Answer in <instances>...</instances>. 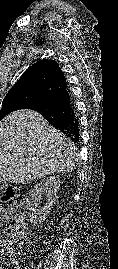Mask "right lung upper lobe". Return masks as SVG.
<instances>
[{"mask_svg": "<svg viewBox=\"0 0 118 269\" xmlns=\"http://www.w3.org/2000/svg\"><path fill=\"white\" fill-rule=\"evenodd\" d=\"M66 87L68 84L59 64L55 60L43 59L30 66L7 95H24L26 108Z\"/></svg>", "mask_w": 118, "mask_h": 269, "instance_id": "obj_1", "label": "right lung upper lobe"}]
</instances>
